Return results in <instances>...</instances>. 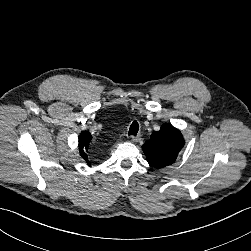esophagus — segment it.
I'll return each instance as SVG.
<instances>
[{"label": "esophagus", "mask_w": 251, "mask_h": 251, "mask_svg": "<svg viewBox=\"0 0 251 251\" xmlns=\"http://www.w3.org/2000/svg\"><path fill=\"white\" fill-rule=\"evenodd\" d=\"M140 140V136L139 135H137V136H132V141L133 142H138Z\"/></svg>", "instance_id": "1"}]
</instances>
